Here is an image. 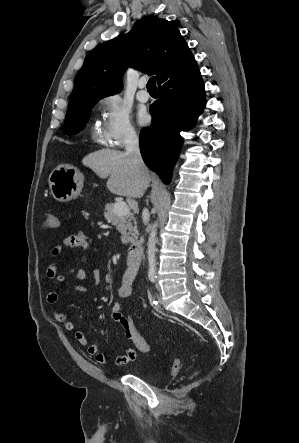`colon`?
Returning a JSON list of instances; mask_svg holds the SVG:
<instances>
[{"mask_svg": "<svg viewBox=\"0 0 299 443\" xmlns=\"http://www.w3.org/2000/svg\"><path fill=\"white\" fill-rule=\"evenodd\" d=\"M43 227L45 229H55L58 227V218L53 211H46L44 213ZM123 328L126 332L128 341L135 346V348L142 353H149L151 351L150 344L138 332L132 317L124 313L122 316ZM180 369V362L175 360L172 364V373H177Z\"/></svg>", "mask_w": 299, "mask_h": 443, "instance_id": "obj_1", "label": "colon"}]
</instances>
